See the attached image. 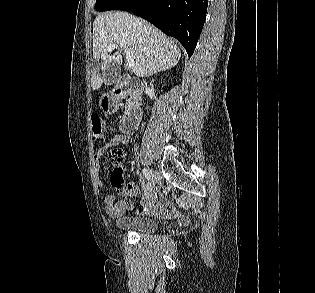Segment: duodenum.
Segmentation results:
<instances>
[{
    "instance_id": "1",
    "label": "duodenum",
    "mask_w": 315,
    "mask_h": 293,
    "mask_svg": "<svg viewBox=\"0 0 315 293\" xmlns=\"http://www.w3.org/2000/svg\"><path fill=\"white\" fill-rule=\"evenodd\" d=\"M114 92H119V96L123 97L136 94L138 89L131 81H126L117 86ZM141 118V106L137 102L132 103L121 120L120 128L122 132L125 134L133 133L138 128Z\"/></svg>"
}]
</instances>
